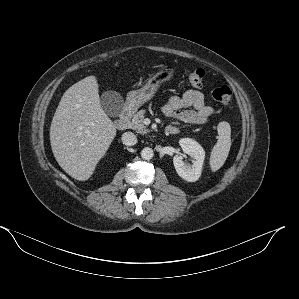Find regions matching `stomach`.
<instances>
[{
    "label": "stomach",
    "mask_w": 299,
    "mask_h": 299,
    "mask_svg": "<svg viewBox=\"0 0 299 299\" xmlns=\"http://www.w3.org/2000/svg\"><path fill=\"white\" fill-rule=\"evenodd\" d=\"M173 76L174 72L170 69H162L153 74L141 89L131 91L127 95L128 109L136 110L144 103L152 99L161 84L171 80Z\"/></svg>",
    "instance_id": "obj_1"
}]
</instances>
